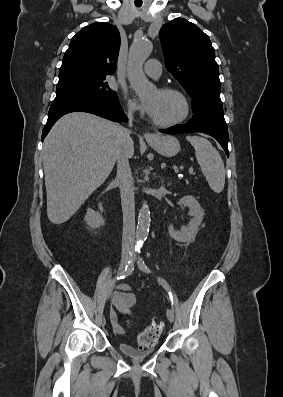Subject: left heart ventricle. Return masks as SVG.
I'll use <instances>...</instances> for the list:
<instances>
[{
    "instance_id": "1",
    "label": "left heart ventricle",
    "mask_w": 283,
    "mask_h": 397,
    "mask_svg": "<svg viewBox=\"0 0 283 397\" xmlns=\"http://www.w3.org/2000/svg\"><path fill=\"white\" fill-rule=\"evenodd\" d=\"M148 101L154 103L152 118L158 121L173 120L183 112V103L175 94L161 93L157 90L149 96Z\"/></svg>"
}]
</instances>
